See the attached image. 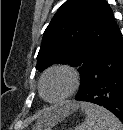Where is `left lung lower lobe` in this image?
<instances>
[{
	"label": "left lung lower lobe",
	"mask_w": 123,
	"mask_h": 130,
	"mask_svg": "<svg viewBox=\"0 0 123 130\" xmlns=\"http://www.w3.org/2000/svg\"><path fill=\"white\" fill-rule=\"evenodd\" d=\"M75 99L103 106L123 122V38L120 33L96 58Z\"/></svg>",
	"instance_id": "left-lung-lower-lobe-1"
}]
</instances>
